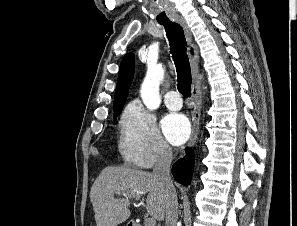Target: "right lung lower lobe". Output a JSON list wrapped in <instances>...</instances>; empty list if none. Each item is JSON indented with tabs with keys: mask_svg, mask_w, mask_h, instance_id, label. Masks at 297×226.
Here are the masks:
<instances>
[{
	"mask_svg": "<svg viewBox=\"0 0 297 226\" xmlns=\"http://www.w3.org/2000/svg\"><path fill=\"white\" fill-rule=\"evenodd\" d=\"M186 152V156L179 159L172 167L174 178L183 185H189L191 183L194 168V155L188 148Z\"/></svg>",
	"mask_w": 297,
	"mask_h": 226,
	"instance_id": "98d812e1",
	"label": "right lung lower lobe"
}]
</instances>
